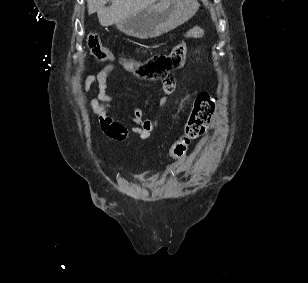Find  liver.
Here are the masks:
<instances>
[{
	"label": "liver",
	"instance_id": "liver-1",
	"mask_svg": "<svg viewBox=\"0 0 308 283\" xmlns=\"http://www.w3.org/2000/svg\"><path fill=\"white\" fill-rule=\"evenodd\" d=\"M111 1L110 7L105 4ZM158 0H87L88 14L97 13L102 26H110Z\"/></svg>",
	"mask_w": 308,
	"mask_h": 283
}]
</instances>
